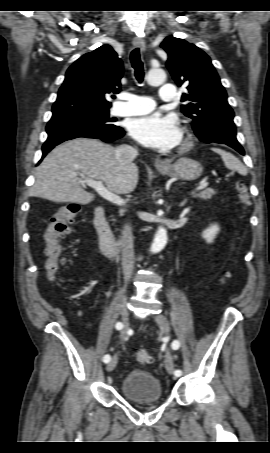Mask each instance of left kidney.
I'll return each instance as SVG.
<instances>
[{"label": "left kidney", "instance_id": "1", "mask_svg": "<svg viewBox=\"0 0 270 453\" xmlns=\"http://www.w3.org/2000/svg\"><path fill=\"white\" fill-rule=\"evenodd\" d=\"M218 232L219 227L218 225L214 224L203 231L202 237L205 239L207 243H212Z\"/></svg>", "mask_w": 270, "mask_h": 453}]
</instances>
